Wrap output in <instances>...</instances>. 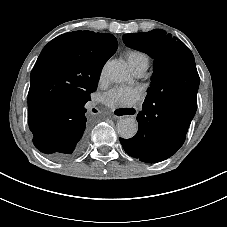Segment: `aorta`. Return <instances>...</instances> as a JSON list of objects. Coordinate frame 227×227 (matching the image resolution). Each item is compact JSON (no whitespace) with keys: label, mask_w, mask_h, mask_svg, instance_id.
<instances>
[{"label":"aorta","mask_w":227,"mask_h":227,"mask_svg":"<svg viewBox=\"0 0 227 227\" xmlns=\"http://www.w3.org/2000/svg\"><path fill=\"white\" fill-rule=\"evenodd\" d=\"M106 77L115 83L126 82L130 78L129 71L124 63L118 60L108 61L105 65ZM138 130V123L132 117L121 118L117 123V132L120 137L130 139L134 137Z\"/></svg>","instance_id":"762f6f07"}]
</instances>
